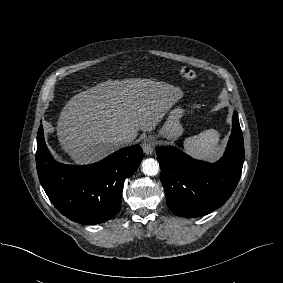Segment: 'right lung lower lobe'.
<instances>
[{"label":"right lung lower lobe","instance_id":"1","mask_svg":"<svg viewBox=\"0 0 283 283\" xmlns=\"http://www.w3.org/2000/svg\"><path fill=\"white\" fill-rule=\"evenodd\" d=\"M142 159V148L133 145L94 164H61L46 146L43 126L38 130L36 166L40 183L53 205L78 223L110 220L120 208L124 180L134 174Z\"/></svg>","mask_w":283,"mask_h":283}]
</instances>
